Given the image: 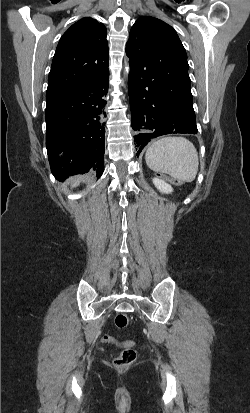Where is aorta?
Returning <instances> with one entry per match:
<instances>
[{"mask_svg":"<svg viewBox=\"0 0 250 413\" xmlns=\"http://www.w3.org/2000/svg\"><path fill=\"white\" fill-rule=\"evenodd\" d=\"M129 70H130L129 65L125 66L124 75H125L126 77H128Z\"/></svg>","mask_w":250,"mask_h":413,"instance_id":"aorta-1","label":"aorta"}]
</instances>
